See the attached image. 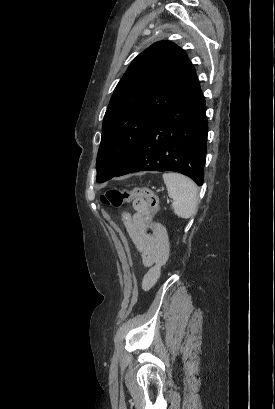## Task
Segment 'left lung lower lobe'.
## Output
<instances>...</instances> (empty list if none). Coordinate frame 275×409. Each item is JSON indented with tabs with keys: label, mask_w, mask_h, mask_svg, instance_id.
<instances>
[{
	"label": "left lung lower lobe",
	"mask_w": 275,
	"mask_h": 409,
	"mask_svg": "<svg viewBox=\"0 0 275 409\" xmlns=\"http://www.w3.org/2000/svg\"><path fill=\"white\" fill-rule=\"evenodd\" d=\"M205 111L199 85L154 123L115 176L169 170L202 185L208 133Z\"/></svg>",
	"instance_id": "0a47b994"
}]
</instances>
